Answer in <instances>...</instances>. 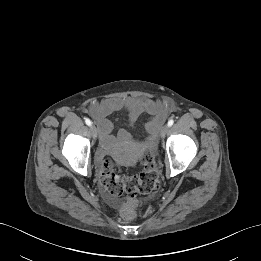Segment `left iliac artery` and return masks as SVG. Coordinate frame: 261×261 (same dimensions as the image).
Masks as SVG:
<instances>
[{
    "mask_svg": "<svg viewBox=\"0 0 261 261\" xmlns=\"http://www.w3.org/2000/svg\"><path fill=\"white\" fill-rule=\"evenodd\" d=\"M173 124H174V120H173V119H170V120L168 121V126L171 127Z\"/></svg>",
    "mask_w": 261,
    "mask_h": 261,
    "instance_id": "obj_1",
    "label": "left iliac artery"
}]
</instances>
